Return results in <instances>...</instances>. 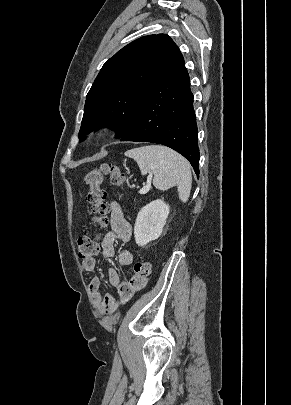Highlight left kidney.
<instances>
[{
	"label": "left kidney",
	"mask_w": 291,
	"mask_h": 405,
	"mask_svg": "<svg viewBox=\"0 0 291 405\" xmlns=\"http://www.w3.org/2000/svg\"><path fill=\"white\" fill-rule=\"evenodd\" d=\"M169 212V205L160 199L150 202L139 211L134 226L138 246H145L160 237Z\"/></svg>",
	"instance_id": "left-kidney-1"
}]
</instances>
